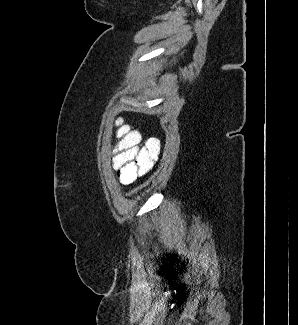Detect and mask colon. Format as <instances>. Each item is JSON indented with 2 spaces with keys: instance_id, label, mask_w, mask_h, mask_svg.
<instances>
[{
  "instance_id": "5ec220e1",
  "label": "colon",
  "mask_w": 298,
  "mask_h": 325,
  "mask_svg": "<svg viewBox=\"0 0 298 325\" xmlns=\"http://www.w3.org/2000/svg\"><path fill=\"white\" fill-rule=\"evenodd\" d=\"M140 142L141 136L137 131L118 123L111 165L123 184H130L146 175L153 166L155 154L152 148L141 147Z\"/></svg>"
}]
</instances>
